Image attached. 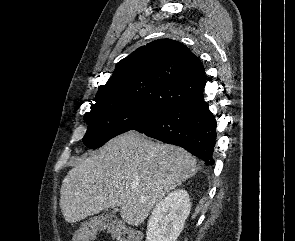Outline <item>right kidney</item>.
I'll use <instances>...</instances> for the list:
<instances>
[{
  "mask_svg": "<svg viewBox=\"0 0 295 241\" xmlns=\"http://www.w3.org/2000/svg\"><path fill=\"white\" fill-rule=\"evenodd\" d=\"M191 209L189 194L174 190L159 201L147 224L146 241H176Z\"/></svg>",
  "mask_w": 295,
  "mask_h": 241,
  "instance_id": "right-kidney-1",
  "label": "right kidney"
}]
</instances>
